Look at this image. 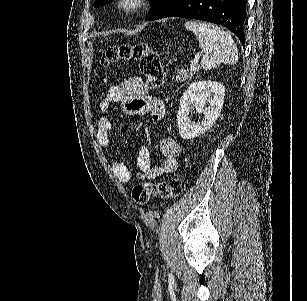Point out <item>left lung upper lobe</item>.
Returning <instances> with one entry per match:
<instances>
[{"mask_svg":"<svg viewBox=\"0 0 307 301\" xmlns=\"http://www.w3.org/2000/svg\"><path fill=\"white\" fill-rule=\"evenodd\" d=\"M110 1L111 0H95L94 7H101ZM176 1L177 0H150L152 7L151 16L148 20H156L168 7H170Z\"/></svg>","mask_w":307,"mask_h":301,"instance_id":"obj_1","label":"left lung upper lobe"}]
</instances>
